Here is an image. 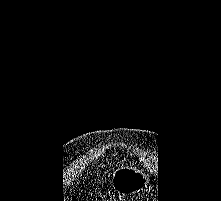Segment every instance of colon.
Here are the masks:
<instances>
[{
  "instance_id": "5ec220e1",
  "label": "colon",
  "mask_w": 221,
  "mask_h": 201,
  "mask_svg": "<svg viewBox=\"0 0 221 201\" xmlns=\"http://www.w3.org/2000/svg\"><path fill=\"white\" fill-rule=\"evenodd\" d=\"M71 201H77L76 199H71Z\"/></svg>"
}]
</instances>
